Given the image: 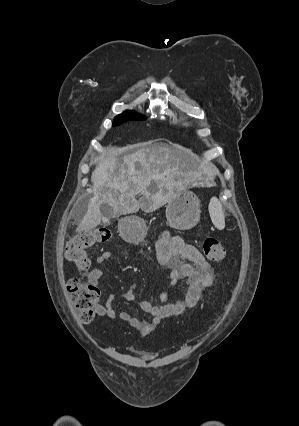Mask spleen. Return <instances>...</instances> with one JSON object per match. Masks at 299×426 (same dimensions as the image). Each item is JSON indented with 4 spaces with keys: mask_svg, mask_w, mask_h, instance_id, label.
<instances>
[{
    "mask_svg": "<svg viewBox=\"0 0 299 426\" xmlns=\"http://www.w3.org/2000/svg\"><path fill=\"white\" fill-rule=\"evenodd\" d=\"M208 209L214 226L219 230L224 229L225 215L221 202L216 197L211 198Z\"/></svg>",
    "mask_w": 299,
    "mask_h": 426,
    "instance_id": "spleen-1",
    "label": "spleen"
}]
</instances>
